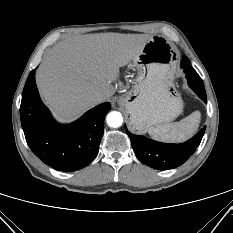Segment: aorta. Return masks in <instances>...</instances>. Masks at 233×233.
Returning <instances> with one entry per match:
<instances>
[{
  "mask_svg": "<svg viewBox=\"0 0 233 233\" xmlns=\"http://www.w3.org/2000/svg\"><path fill=\"white\" fill-rule=\"evenodd\" d=\"M107 123L110 127H120L123 123V117L120 112L113 111L107 115Z\"/></svg>",
  "mask_w": 233,
  "mask_h": 233,
  "instance_id": "1",
  "label": "aorta"
}]
</instances>
